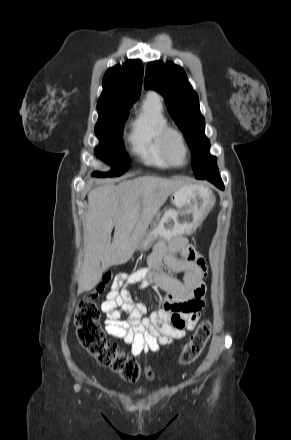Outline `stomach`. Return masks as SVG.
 I'll return each mask as SVG.
<instances>
[{
    "label": "stomach",
    "instance_id": "1",
    "mask_svg": "<svg viewBox=\"0 0 291 440\" xmlns=\"http://www.w3.org/2000/svg\"><path fill=\"white\" fill-rule=\"evenodd\" d=\"M215 200L207 186L193 183L181 185L171 193L175 209L166 211L155 230L146 235L141 248H148L158 237L170 239L176 235L190 234L212 210Z\"/></svg>",
    "mask_w": 291,
    "mask_h": 440
}]
</instances>
